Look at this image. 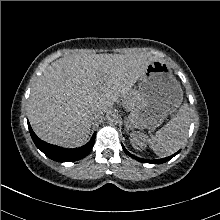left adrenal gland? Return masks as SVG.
I'll return each instance as SVG.
<instances>
[{
  "instance_id": "a2214340",
  "label": "left adrenal gland",
  "mask_w": 220,
  "mask_h": 220,
  "mask_svg": "<svg viewBox=\"0 0 220 220\" xmlns=\"http://www.w3.org/2000/svg\"><path fill=\"white\" fill-rule=\"evenodd\" d=\"M125 130H126L127 132H129V125H128V121H125Z\"/></svg>"
}]
</instances>
